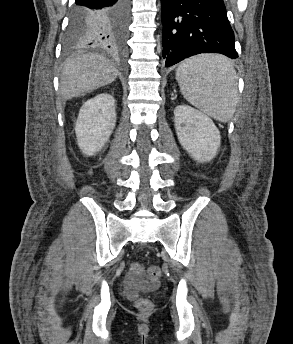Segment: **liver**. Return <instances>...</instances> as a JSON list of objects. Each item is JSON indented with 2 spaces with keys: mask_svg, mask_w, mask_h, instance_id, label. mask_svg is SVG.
Here are the masks:
<instances>
[{
  "mask_svg": "<svg viewBox=\"0 0 293 344\" xmlns=\"http://www.w3.org/2000/svg\"><path fill=\"white\" fill-rule=\"evenodd\" d=\"M115 66L101 55L78 54L68 59L60 79V93L68 100L91 92L116 80Z\"/></svg>",
  "mask_w": 293,
  "mask_h": 344,
  "instance_id": "liver-1",
  "label": "liver"
}]
</instances>
